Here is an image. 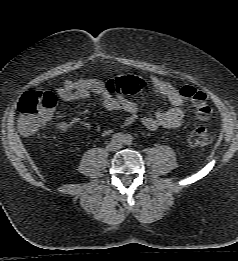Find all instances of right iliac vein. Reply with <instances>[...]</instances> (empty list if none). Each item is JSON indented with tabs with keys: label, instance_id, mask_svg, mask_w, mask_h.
<instances>
[{
	"label": "right iliac vein",
	"instance_id": "obj_1",
	"mask_svg": "<svg viewBox=\"0 0 238 261\" xmlns=\"http://www.w3.org/2000/svg\"><path fill=\"white\" fill-rule=\"evenodd\" d=\"M108 150H110V151L116 150V145L114 143L109 144Z\"/></svg>",
	"mask_w": 238,
	"mask_h": 261
}]
</instances>
